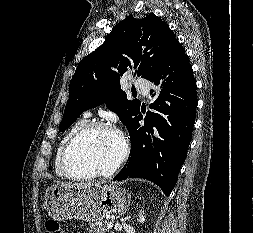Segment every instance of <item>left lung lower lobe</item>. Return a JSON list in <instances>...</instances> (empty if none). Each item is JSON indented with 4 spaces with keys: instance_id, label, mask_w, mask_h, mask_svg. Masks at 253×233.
Returning <instances> with one entry per match:
<instances>
[{
    "instance_id": "0a47b994",
    "label": "left lung lower lobe",
    "mask_w": 253,
    "mask_h": 233,
    "mask_svg": "<svg viewBox=\"0 0 253 233\" xmlns=\"http://www.w3.org/2000/svg\"><path fill=\"white\" fill-rule=\"evenodd\" d=\"M152 111L140 108L129 128L131 152L126 165L113 178H144L160 186L169 196L187 155L195 122L197 95L193 70L184 48L176 44L161 72L150 80Z\"/></svg>"
}]
</instances>
